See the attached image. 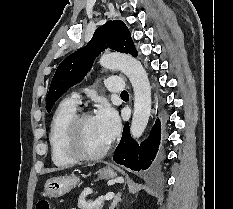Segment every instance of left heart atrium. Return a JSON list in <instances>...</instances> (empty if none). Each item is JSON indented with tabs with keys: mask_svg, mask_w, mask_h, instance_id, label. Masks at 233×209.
I'll use <instances>...</instances> for the list:
<instances>
[{
	"mask_svg": "<svg viewBox=\"0 0 233 209\" xmlns=\"http://www.w3.org/2000/svg\"><path fill=\"white\" fill-rule=\"evenodd\" d=\"M95 122L108 141H112L119 132L120 123L115 111L108 105H102L94 116Z\"/></svg>",
	"mask_w": 233,
	"mask_h": 209,
	"instance_id": "39dd6f15",
	"label": "left heart atrium"
}]
</instances>
